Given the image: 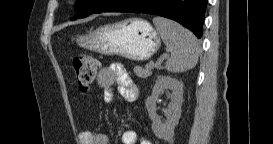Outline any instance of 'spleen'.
<instances>
[{
    "instance_id": "obj_1",
    "label": "spleen",
    "mask_w": 273,
    "mask_h": 144,
    "mask_svg": "<svg viewBox=\"0 0 273 144\" xmlns=\"http://www.w3.org/2000/svg\"><path fill=\"white\" fill-rule=\"evenodd\" d=\"M153 23L166 45V50L171 53L165 65L167 71L179 73L194 68L198 62L199 47L193 33L164 17H155Z\"/></svg>"
}]
</instances>
